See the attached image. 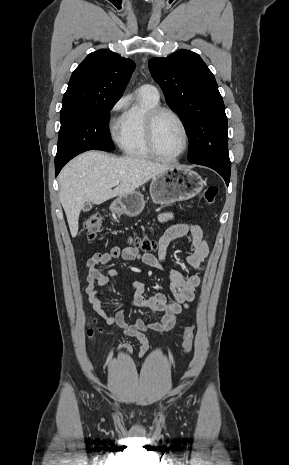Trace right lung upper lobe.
Returning <instances> with one entry per match:
<instances>
[{"instance_id":"1","label":"right lung upper lobe","mask_w":289,"mask_h":465,"mask_svg":"<svg viewBox=\"0 0 289 465\" xmlns=\"http://www.w3.org/2000/svg\"><path fill=\"white\" fill-rule=\"evenodd\" d=\"M134 66L132 60L106 49L90 53L72 73L61 112L120 99Z\"/></svg>"}]
</instances>
